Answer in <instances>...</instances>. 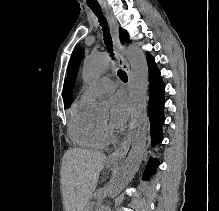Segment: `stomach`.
Listing matches in <instances>:
<instances>
[{"mask_svg":"<svg viewBox=\"0 0 219 211\" xmlns=\"http://www.w3.org/2000/svg\"><path fill=\"white\" fill-rule=\"evenodd\" d=\"M108 168L113 169L114 166L113 165H108Z\"/></svg>","mask_w":219,"mask_h":211,"instance_id":"1","label":"stomach"}]
</instances>
